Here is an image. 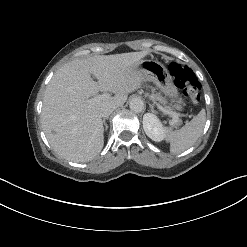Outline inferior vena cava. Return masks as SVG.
Here are the masks:
<instances>
[{"label":"inferior vena cava","instance_id":"obj_1","mask_svg":"<svg viewBox=\"0 0 247 247\" xmlns=\"http://www.w3.org/2000/svg\"><path fill=\"white\" fill-rule=\"evenodd\" d=\"M118 107L117 103H106L101 107L100 114L102 117H108L116 108Z\"/></svg>","mask_w":247,"mask_h":247}]
</instances>
